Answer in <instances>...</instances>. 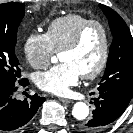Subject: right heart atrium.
Here are the masks:
<instances>
[{
    "label": "right heart atrium",
    "instance_id": "right-heart-atrium-1",
    "mask_svg": "<svg viewBox=\"0 0 133 133\" xmlns=\"http://www.w3.org/2000/svg\"><path fill=\"white\" fill-rule=\"evenodd\" d=\"M55 52L46 34L34 33L25 40L24 53L26 59L35 69L46 68Z\"/></svg>",
    "mask_w": 133,
    "mask_h": 133
}]
</instances>
